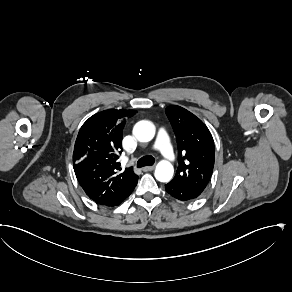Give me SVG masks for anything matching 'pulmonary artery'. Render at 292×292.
Masks as SVG:
<instances>
[{
  "instance_id": "1",
  "label": "pulmonary artery",
  "mask_w": 292,
  "mask_h": 292,
  "mask_svg": "<svg viewBox=\"0 0 292 292\" xmlns=\"http://www.w3.org/2000/svg\"><path fill=\"white\" fill-rule=\"evenodd\" d=\"M171 143L172 139L167 135L165 130L160 129L157 131L153 140V147L155 150L162 152L165 157L170 158L174 154Z\"/></svg>"
}]
</instances>
